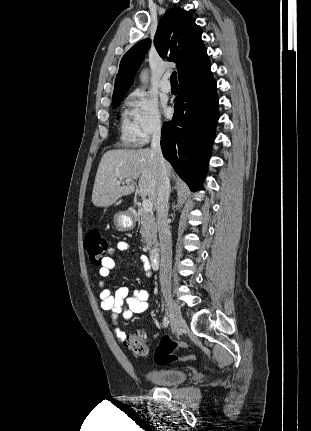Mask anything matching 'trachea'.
Listing matches in <instances>:
<instances>
[{"label": "trachea", "mask_w": 311, "mask_h": 431, "mask_svg": "<svg viewBox=\"0 0 311 431\" xmlns=\"http://www.w3.org/2000/svg\"><path fill=\"white\" fill-rule=\"evenodd\" d=\"M170 81H171V83H173V84H177L178 82H177V73L176 72H173L172 73V75H171V77H170Z\"/></svg>", "instance_id": "1"}]
</instances>
